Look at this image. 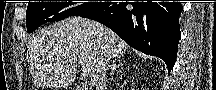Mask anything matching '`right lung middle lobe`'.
<instances>
[{
    "instance_id": "obj_1",
    "label": "right lung middle lobe",
    "mask_w": 216,
    "mask_h": 90,
    "mask_svg": "<svg viewBox=\"0 0 216 90\" xmlns=\"http://www.w3.org/2000/svg\"><path fill=\"white\" fill-rule=\"evenodd\" d=\"M74 2H29L26 19L27 31L30 33L42 24L63 20L70 16H80L100 6L101 2H86L69 7Z\"/></svg>"
}]
</instances>
